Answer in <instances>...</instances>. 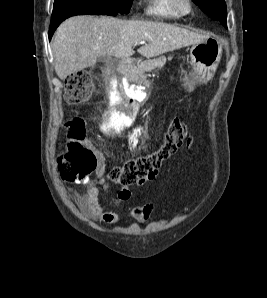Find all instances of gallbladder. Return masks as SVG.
I'll return each mask as SVG.
<instances>
[{
	"label": "gallbladder",
	"instance_id": "obj_1",
	"mask_svg": "<svg viewBox=\"0 0 267 298\" xmlns=\"http://www.w3.org/2000/svg\"><path fill=\"white\" fill-rule=\"evenodd\" d=\"M98 60H99V61H105V62H108V61L111 60V57H109V56H100V57H98Z\"/></svg>",
	"mask_w": 267,
	"mask_h": 298
}]
</instances>
